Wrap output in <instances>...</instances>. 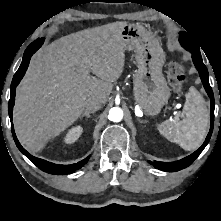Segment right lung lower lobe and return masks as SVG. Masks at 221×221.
<instances>
[{"mask_svg":"<svg viewBox=\"0 0 221 221\" xmlns=\"http://www.w3.org/2000/svg\"><path fill=\"white\" fill-rule=\"evenodd\" d=\"M44 39H37L35 40L33 43H31L27 49L24 52L23 55V60L22 63L19 67V69L17 70V72L15 73L12 83H11V89H10V100H9V104H8V113L10 116V120H12V111H13V106H14V102H15V88L16 86L19 84L20 80L22 79V77L24 76L27 67L29 65V61L30 58L32 56V54L41 46V44L43 43ZM12 129V134H13V138L14 141L18 147V149L29 159L31 160L39 169L43 170L44 172L50 173V174H57V175H64V174H69L72 173L73 171L80 169L82 166H84L87 161L89 160L90 156H88L87 158H85L84 160L76 163V164H71V165H58V164H54L48 161H45L43 159L37 158L32 156L31 154H29L19 143L15 132H14V128H13V124L11 126Z\"/></svg>","mask_w":221,"mask_h":221,"instance_id":"1","label":"right lung lower lobe"}]
</instances>
